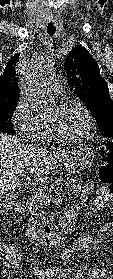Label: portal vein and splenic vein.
Returning a JSON list of instances; mask_svg holds the SVG:
<instances>
[{
  "instance_id": "18ae733b",
  "label": "portal vein and splenic vein",
  "mask_w": 113,
  "mask_h": 279,
  "mask_svg": "<svg viewBox=\"0 0 113 279\" xmlns=\"http://www.w3.org/2000/svg\"><path fill=\"white\" fill-rule=\"evenodd\" d=\"M19 176H20V177H24V176H25V173H24V172H20V173H19ZM40 190H41V189H40Z\"/></svg>"
}]
</instances>
